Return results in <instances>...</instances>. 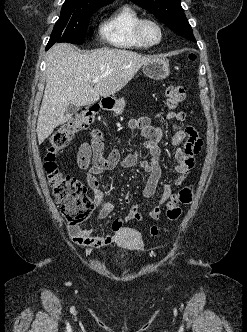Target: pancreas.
<instances>
[{"mask_svg": "<svg viewBox=\"0 0 247 332\" xmlns=\"http://www.w3.org/2000/svg\"><path fill=\"white\" fill-rule=\"evenodd\" d=\"M124 107H125V101L124 99H119L117 102H116V107L114 108V112L116 113V115H120L122 114L123 110H124Z\"/></svg>", "mask_w": 247, "mask_h": 332, "instance_id": "pancreas-1", "label": "pancreas"}]
</instances>
